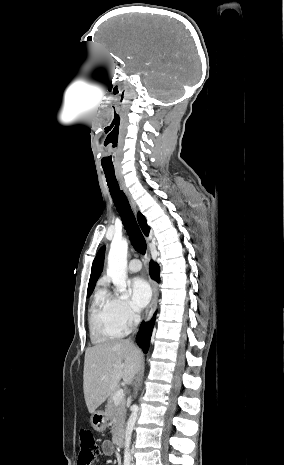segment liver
Masks as SVG:
<instances>
[{
    "label": "liver",
    "instance_id": "obj_1",
    "mask_svg": "<svg viewBox=\"0 0 284 465\" xmlns=\"http://www.w3.org/2000/svg\"><path fill=\"white\" fill-rule=\"evenodd\" d=\"M142 353L130 341L111 339L89 347L85 353L83 391L89 413H95L115 391L120 379L132 383L140 371Z\"/></svg>",
    "mask_w": 284,
    "mask_h": 465
}]
</instances>
